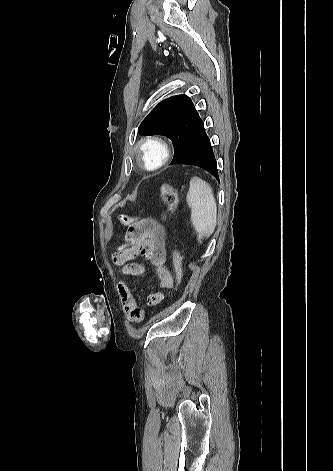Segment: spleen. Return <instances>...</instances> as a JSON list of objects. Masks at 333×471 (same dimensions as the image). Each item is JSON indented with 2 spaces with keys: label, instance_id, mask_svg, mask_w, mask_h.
Wrapping results in <instances>:
<instances>
[{
  "label": "spleen",
  "instance_id": "1",
  "mask_svg": "<svg viewBox=\"0 0 333 471\" xmlns=\"http://www.w3.org/2000/svg\"><path fill=\"white\" fill-rule=\"evenodd\" d=\"M186 200L191 208V221L198 235L206 238L211 236L217 223V206L210 185L198 177H193Z\"/></svg>",
  "mask_w": 333,
  "mask_h": 471
}]
</instances>
